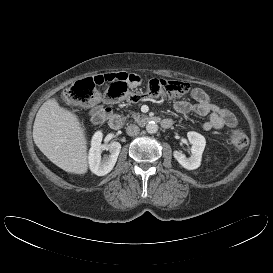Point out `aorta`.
I'll use <instances>...</instances> for the list:
<instances>
[{"mask_svg": "<svg viewBox=\"0 0 273 273\" xmlns=\"http://www.w3.org/2000/svg\"><path fill=\"white\" fill-rule=\"evenodd\" d=\"M146 131L149 134H154L158 131V125L154 121H150L146 125Z\"/></svg>", "mask_w": 273, "mask_h": 273, "instance_id": "762f6f07", "label": "aorta"}]
</instances>
